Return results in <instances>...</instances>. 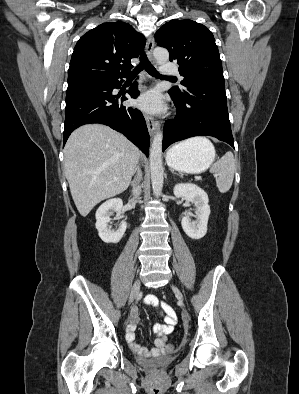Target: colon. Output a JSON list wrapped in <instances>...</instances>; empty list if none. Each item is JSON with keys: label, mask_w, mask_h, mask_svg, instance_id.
<instances>
[{"label": "colon", "mask_w": 299, "mask_h": 394, "mask_svg": "<svg viewBox=\"0 0 299 394\" xmlns=\"http://www.w3.org/2000/svg\"><path fill=\"white\" fill-rule=\"evenodd\" d=\"M172 348H173L172 345H169V346H168V349H172Z\"/></svg>", "instance_id": "1"}]
</instances>
